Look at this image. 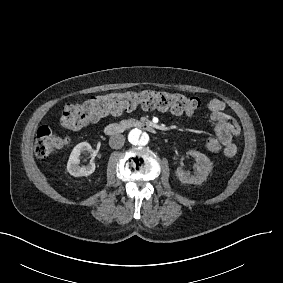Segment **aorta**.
Masks as SVG:
<instances>
[{"label": "aorta", "instance_id": "obj_1", "mask_svg": "<svg viewBox=\"0 0 283 283\" xmlns=\"http://www.w3.org/2000/svg\"><path fill=\"white\" fill-rule=\"evenodd\" d=\"M128 140L132 145L136 146H146L149 141L150 137L148 133L142 131L139 128L132 129L128 134Z\"/></svg>", "mask_w": 283, "mask_h": 283}]
</instances>
